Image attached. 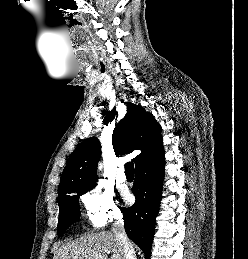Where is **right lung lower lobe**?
Masks as SVG:
<instances>
[{
    "label": "right lung lower lobe",
    "instance_id": "right-lung-lower-lobe-1",
    "mask_svg": "<svg viewBox=\"0 0 248 259\" xmlns=\"http://www.w3.org/2000/svg\"><path fill=\"white\" fill-rule=\"evenodd\" d=\"M163 177L164 153L138 163L135 166V182L132 187L136 202L131 207L121 208L125 231L145 253V259L150 257Z\"/></svg>",
    "mask_w": 248,
    "mask_h": 259
}]
</instances>
